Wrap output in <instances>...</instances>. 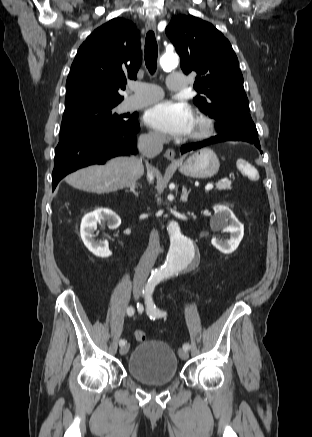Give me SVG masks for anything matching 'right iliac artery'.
<instances>
[{"label":"right iliac artery","instance_id":"right-iliac-artery-1","mask_svg":"<svg viewBox=\"0 0 312 437\" xmlns=\"http://www.w3.org/2000/svg\"><path fill=\"white\" fill-rule=\"evenodd\" d=\"M137 309H138L139 312L142 313V311H143V305L140 304V303H138V304H137ZM134 312H135V310H134L133 307L130 306V307L127 308V314H128L129 316H132V315L134 314ZM125 343H126V341H125L124 339H121V340L119 341V345H120V346H123Z\"/></svg>","mask_w":312,"mask_h":437}]
</instances>
